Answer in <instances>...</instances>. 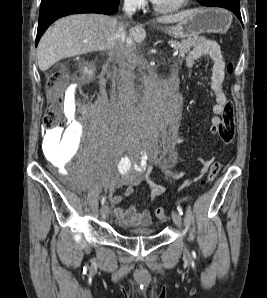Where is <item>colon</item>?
Here are the masks:
<instances>
[{"label":"colon","instance_id":"5ec220e1","mask_svg":"<svg viewBox=\"0 0 267 298\" xmlns=\"http://www.w3.org/2000/svg\"><path fill=\"white\" fill-rule=\"evenodd\" d=\"M228 71L231 72L233 66L231 64L227 67ZM66 87V74L63 71L53 72L47 80L48 89V107L44 117V126L47 130H53L58 127L65 125V117L63 115L62 103H63V91ZM235 129V116L234 110L231 104L227 105L222 116H221V127L219 136L222 142L227 145L229 144L234 135ZM221 169V164L215 162L212 164L209 173L206 178L207 183H212ZM155 216L160 221H166L169 218L168 212L159 207L155 210Z\"/></svg>","mask_w":267,"mask_h":298}]
</instances>
